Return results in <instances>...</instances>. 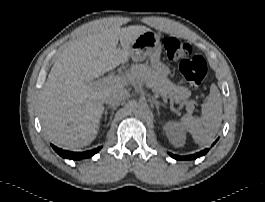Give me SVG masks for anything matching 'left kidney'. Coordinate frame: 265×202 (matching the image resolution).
<instances>
[{
    "instance_id": "1",
    "label": "left kidney",
    "mask_w": 265,
    "mask_h": 202,
    "mask_svg": "<svg viewBox=\"0 0 265 202\" xmlns=\"http://www.w3.org/2000/svg\"><path fill=\"white\" fill-rule=\"evenodd\" d=\"M164 130L166 131V135L173 146H184L186 133L179 123L175 121H169L164 125Z\"/></svg>"
}]
</instances>
